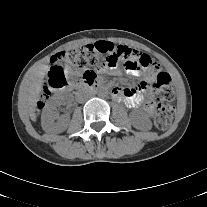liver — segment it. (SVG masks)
Masks as SVG:
<instances>
[{
    "label": "liver",
    "mask_w": 207,
    "mask_h": 207,
    "mask_svg": "<svg viewBox=\"0 0 207 207\" xmlns=\"http://www.w3.org/2000/svg\"><path fill=\"white\" fill-rule=\"evenodd\" d=\"M46 69V64L33 69L25 78L21 89L22 99L28 108L30 118L34 122L36 121V106L40 99Z\"/></svg>",
    "instance_id": "obj_1"
}]
</instances>
